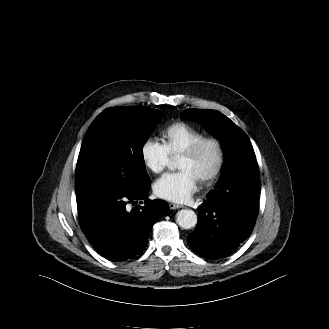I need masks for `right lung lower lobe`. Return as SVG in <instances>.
I'll return each instance as SVG.
<instances>
[{"label":"right lung lower lobe","mask_w":329,"mask_h":329,"mask_svg":"<svg viewBox=\"0 0 329 329\" xmlns=\"http://www.w3.org/2000/svg\"><path fill=\"white\" fill-rule=\"evenodd\" d=\"M149 186L131 192L97 185L77 194L82 231L105 258L123 261L140 253L147 244L153 224L169 211L165 201L146 199ZM143 199V206L127 210V203Z\"/></svg>","instance_id":"98d812e1"}]
</instances>
